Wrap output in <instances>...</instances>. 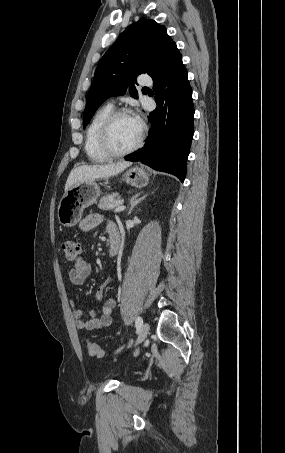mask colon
I'll use <instances>...</instances> for the list:
<instances>
[{"label": "colon", "instance_id": "1", "mask_svg": "<svg viewBox=\"0 0 285 453\" xmlns=\"http://www.w3.org/2000/svg\"><path fill=\"white\" fill-rule=\"evenodd\" d=\"M62 250L64 252V255L66 259L70 261H75L78 259L81 255V246L80 244L72 239V238H67L62 242ZM87 350L88 353L97 358H101L104 356V351L101 349V347L94 341H87Z\"/></svg>", "mask_w": 285, "mask_h": 453}]
</instances>
